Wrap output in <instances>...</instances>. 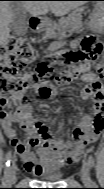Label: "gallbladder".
I'll use <instances>...</instances> for the list:
<instances>
[{
  "mask_svg": "<svg viewBox=\"0 0 104 189\" xmlns=\"http://www.w3.org/2000/svg\"><path fill=\"white\" fill-rule=\"evenodd\" d=\"M10 9L13 19L10 24L11 30L17 35H24L27 32V12L21 2H11Z\"/></svg>",
  "mask_w": 104,
  "mask_h": 189,
  "instance_id": "bac80fb5",
  "label": "gallbladder"
}]
</instances>
